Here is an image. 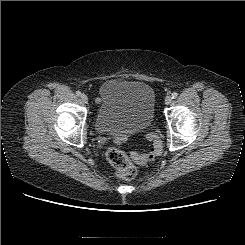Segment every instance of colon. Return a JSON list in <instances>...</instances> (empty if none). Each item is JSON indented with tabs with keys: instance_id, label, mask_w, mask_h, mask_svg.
Returning a JSON list of instances; mask_svg holds the SVG:
<instances>
[{
	"instance_id": "1",
	"label": "colon",
	"mask_w": 245,
	"mask_h": 245,
	"mask_svg": "<svg viewBox=\"0 0 245 245\" xmlns=\"http://www.w3.org/2000/svg\"><path fill=\"white\" fill-rule=\"evenodd\" d=\"M153 143V147L148 153L133 152L131 158L119 148L111 147L107 150L106 156L109 163L116 169V175L120 179H132L135 177L137 169L136 164L146 165L156 159L162 153V143L155 134L146 136Z\"/></svg>"
}]
</instances>
